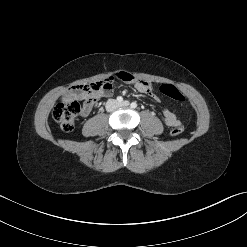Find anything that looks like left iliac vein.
Instances as JSON below:
<instances>
[{
  "label": "left iliac vein",
  "mask_w": 247,
  "mask_h": 247,
  "mask_svg": "<svg viewBox=\"0 0 247 247\" xmlns=\"http://www.w3.org/2000/svg\"><path fill=\"white\" fill-rule=\"evenodd\" d=\"M129 102L128 101H124L122 103L119 104V106H128Z\"/></svg>",
  "instance_id": "left-iliac-vein-1"
}]
</instances>
